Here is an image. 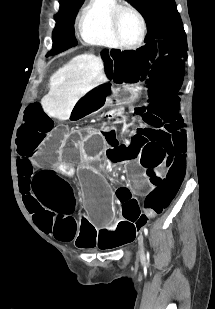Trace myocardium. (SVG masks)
Here are the masks:
<instances>
[{"mask_svg": "<svg viewBox=\"0 0 215 309\" xmlns=\"http://www.w3.org/2000/svg\"><path fill=\"white\" fill-rule=\"evenodd\" d=\"M120 12H128L131 15H133L137 21V25H138V34H137V38L134 42L130 43V44H124L122 42V40L120 39L119 36V29H120V24L119 21L121 19L120 15H117ZM110 16L114 18L112 25H113V29L112 31H114V36L117 39L116 44H114V46L116 48H139L145 38V33H146V27H145V23L144 20L141 16V14L134 8L130 7V6H119L116 7L112 10L109 11Z\"/></svg>", "mask_w": 215, "mask_h": 309, "instance_id": "1", "label": "myocardium"}]
</instances>
